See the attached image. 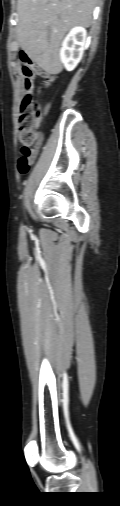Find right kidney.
I'll list each match as a JSON object with an SVG mask.
<instances>
[{
    "label": "right kidney",
    "instance_id": "obj_1",
    "mask_svg": "<svg viewBox=\"0 0 120 506\" xmlns=\"http://www.w3.org/2000/svg\"><path fill=\"white\" fill-rule=\"evenodd\" d=\"M86 43L87 32L83 27H74L65 37L60 59L68 71H72L80 62Z\"/></svg>",
    "mask_w": 120,
    "mask_h": 506
}]
</instances>
